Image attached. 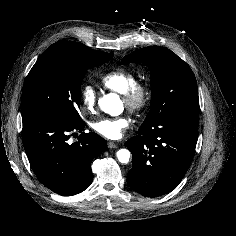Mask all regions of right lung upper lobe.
I'll list each match as a JSON object with an SVG mask.
<instances>
[{
	"label": "right lung upper lobe",
	"instance_id": "1",
	"mask_svg": "<svg viewBox=\"0 0 236 236\" xmlns=\"http://www.w3.org/2000/svg\"><path fill=\"white\" fill-rule=\"evenodd\" d=\"M67 42H69L71 44V46L73 47V49L81 55H93L98 52L96 50L90 49L89 47H87L81 43L72 42V41H67Z\"/></svg>",
	"mask_w": 236,
	"mask_h": 236
}]
</instances>
